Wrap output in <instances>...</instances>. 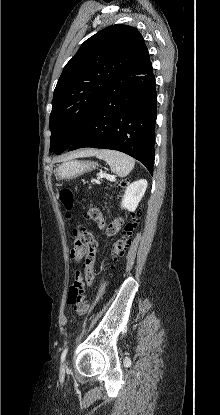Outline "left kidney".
Here are the masks:
<instances>
[{
  "instance_id": "obj_1",
  "label": "left kidney",
  "mask_w": 220,
  "mask_h": 415,
  "mask_svg": "<svg viewBox=\"0 0 220 415\" xmlns=\"http://www.w3.org/2000/svg\"><path fill=\"white\" fill-rule=\"evenodd\" d=\"M147 189V181L142 179L130 184L122 199L121 207L131 212L135 211Z\"/></svg>"
}]
</instances>
